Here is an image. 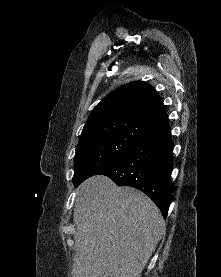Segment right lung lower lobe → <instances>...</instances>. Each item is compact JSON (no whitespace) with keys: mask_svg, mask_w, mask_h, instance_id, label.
I'll list each match as a JSON object with an SVG mask.
<instances>
[{"mask_svg":"<svg viewBox=\"0 0 221 277\" xmlns=\"http://www.w3.org/2000/svg\"><path fill=\"white\" fill-rule=\"evenodd\" d=\"M139 124L143 130L142 138L120 161L99 174L110 177L119 186L141 190L166 217L172 195L173 142L165 108L162 106L144 115Z\"/></svg>","mask_w":221,"mask_h":277,"instance_id":"98d812e1","label":"right lung lower lobe"}]
</instances>
